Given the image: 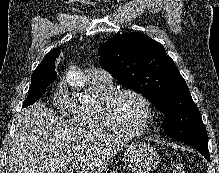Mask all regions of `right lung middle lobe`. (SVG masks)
<instances>
[{
  "label": "right lung middle lobe",
  "mask_w": 219,
  "mask_h": 173,
  "mask_svg": "<svg viewBox=\"0 0 219 173\" xmlns=\"http://www.w3.org/2000/svg\"><path fill=\"white\" fill-rule=\"evenodd\" d=\"M57 75L50 74L44 71L33 72L31 77V85L28 91V96L23 104V107L33 104L37 99L41 98L48 85H50Z\"/></svg>",
  "instance_id": "obj_1"
}]
</instances>
